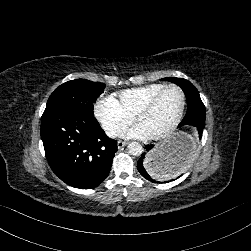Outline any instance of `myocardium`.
Segmentation results:
<instances>
[{"mask_svg":"<svg viewBox=\"0 0 251 251\" xmlns=\"http://www.w3.org/2000/svg\"><path fill=\"white\" fill-rule=\"evenodd\" d=\"M169 89H175L178 90L183 97V103H182V108L180 111V114L177 118V120L170 126H168L167 128L161 130L160 132H158L156 134L157 138H164L170 134H172L173 132H175L183 123L184 117H185V113L187 110V105H188V96L186 91L179 85L176 84H169V85H165L163 88H161L158 92H156L148 101H146L142 106H140L137 111L136 114L141 112V111H146V110H150L152 109L155 104L157 103V101L159 100V98Z\"/></svg>","mask_w":251,"mask_h":251,"instance_id":"myocardium-1","label":"myocardium"}]
</instances>
